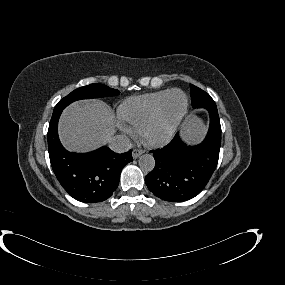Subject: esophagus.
Listing matches in <instances>:
<instances>
[{
	"mask_svg": "<svg viewBox=\"0 0 285 285\" xmlns=\"http://www.w3.org/2000/svg\"><path fill=\"white\" fill-rule=\"evenodd\" d=\"M144 151L142 149H133L132 156L137 159Z\"/></svg>",
	"mask_w": 285,
	"mask_h": 285,
	"instance_id": "1",
	"label": "esophagus"
}]
</instances>
